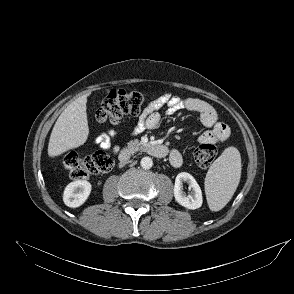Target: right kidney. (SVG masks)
Returning <instances> with one entry per match:
<instances>
[{"label": "right kidney", "mask_w": 294, "mask_h": 294, "mask_svg": "<svg viewBox=\"0 0 294 294\" xmlns=\"http://www.w3.org/2000/svg\"><path fill=\"white\" fill-rule=\"evenodd\" d=\"M92 186L86 180H76L69 183L63 193V201L66 206L76 208L84 204L88 199Z\"/></svg>", "instance_id": "ca27d5eb"}]
</instances>
